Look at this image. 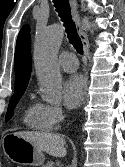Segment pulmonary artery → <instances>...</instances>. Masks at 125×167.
I'll list each match as a JSON object with an SVG mask.
<instances>
[{"mask_svg":"<svg viewBox=\"0 0 125 167\" xmlns=\"http://www.w3.org/2000/svg\"><path fill=\"white\" fill-rule=\"evenodd\" d=\"M58 64L62 70L73 73L78 68V62L75 54L71 52H63L58 57Z\"/></svg>","mask_w":125,"mask_h":167,"instance_id":"obj_1","label":"pulmonary artery"}]
</instances>
